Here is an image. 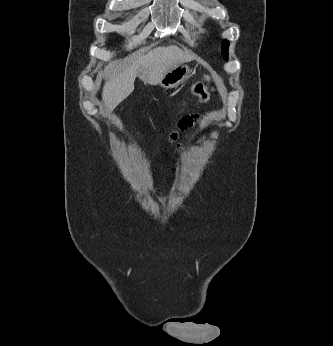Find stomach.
Wrapping results in <instances>:
<instances>
[{
    "mask_svg": "<svg viewBox=\"0 0 333 346\" xmlns=\"http://www.w3.org/2000/svg\"><path fill=\"white\" fill-rule=\"evenodd\" d=\"M191 74V69L186 64H179L168 71L159 81V85L165 89L176 88L183 84Z\"/></svg>",
    "mask_w": 333,
    "mask_h": 346,
    "instance_id": "1",
    "label": "stomach"
}]
</instances>
